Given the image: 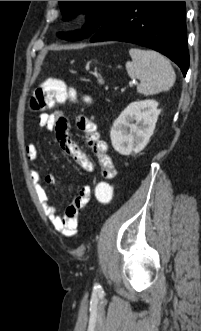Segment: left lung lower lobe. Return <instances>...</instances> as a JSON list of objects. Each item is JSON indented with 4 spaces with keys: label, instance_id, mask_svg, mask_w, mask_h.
I'll list each match as a JSON object with an SVG mask.
<instances>
[{
    "label": "left lung lower lobe",
    "instance_id": "1",
    "mask_svg": "<svg viewBox=\"0 0 201 331\" xmlns=\"http://www.w3.org/2000/svg\"><path fill=\"white\" fill-rule=\"evenodd\" d=\"M185 1H120L91 42L123 41L154 49L185 76L189 67Z\"/></svg>",
    "mask_w": 201,
    "mask_h": 331
}]
</instances>
